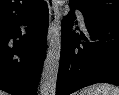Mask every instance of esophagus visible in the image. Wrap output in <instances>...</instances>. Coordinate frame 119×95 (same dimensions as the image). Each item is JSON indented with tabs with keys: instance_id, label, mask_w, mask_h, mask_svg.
Segmentation results:
<instances>
[{
	"instance_id": "obj_1",
	"label": "esophagus",
	"mask_w": 119,
	"mask_h": 95,
	"mask_svg": "<svg viewBox=\"0 0 119 95\" xmlns=\"http://www.w3.org/2000/svg\"><path fill=\"white\" fill-rule=\"evenodd\" d=\"M49 9V27H48V43L53 39L56 27L59 23V10L55 0H47Z\"/></svg>"
}]
</instances>
